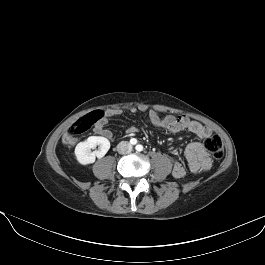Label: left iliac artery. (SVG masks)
<instances>
[{
    "label": "left iliac artery",
    "instance_id": "obj_1",
    "mask_svg": "<svg viewBox=\"0 0 265 265\" xmlns=\"http://www.w3.org/2000/svg\"><path fill=\"white\" fill-rule=\"evenodd\" d=\"M136 150L137 151H142L143 150V146L142 145H137L136 146Z\"/></svg>",
    "mask_w": 265,
    "mask_h": 265
}]
</instances>
